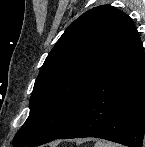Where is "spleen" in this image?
<instances>
[{"mask_svg":"<svg viewBox=\"0 0 145 147\" xmlns=\"http://www.w3.org/2000/svg\"><path fill=\"white\" fill-rule=\"evenodd\" d=\"M94 147H116V145L110 142L98 141Z\"/></svg>","mask_w":145,"mask_h":147,"instance_id":"1","label":"spleen"}]
</instances>
